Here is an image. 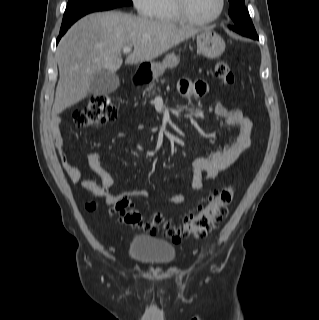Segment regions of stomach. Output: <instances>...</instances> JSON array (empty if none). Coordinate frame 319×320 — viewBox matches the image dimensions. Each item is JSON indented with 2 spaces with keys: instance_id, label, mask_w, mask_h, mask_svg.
I'll return each mask as SVG.
<instances>
[{
  "instance_id": "1",
  "label": "stomach",
  "mask_w": 319,
  "mask_h": 320,
  "mask_svg": "<svg viewBox=\"0 0 319 320\" xmlns=\"http://www.w3.org/2000/svg\"><path fill=\"white\" fill-rule=\"evenodd\" d=\"M225 50V42L222 37L212 29H205L197 35V51L199 54L216 59ZM179 63V57L174 53L166 55L162 62H151L150 73L153 79L162 76L166 69H173Z\"/></svg>"
}]
</instances>
